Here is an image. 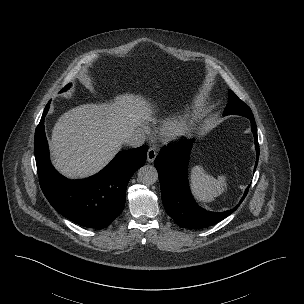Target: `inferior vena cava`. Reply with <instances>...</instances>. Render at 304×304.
Instances as JSON below:
<instances>
[{
	"instance_id": "inferior-vena-cava-1",
	"label": "inferior vena cava",
	"mask_w": 304,
	"mask_h": 304,
	"mask_svg": "<svg viewBox=\"0 0 304 304\" xmlns=\"http://www.w3.org/2000/svg\"><path fill=\"white\" fill-rule=\"evenodd\" d=\"M144 141H145V136L139 130H133L127 135L125 139V143L134 148L140 147L144 143Z\"/></svg>"
}]
</instances>
